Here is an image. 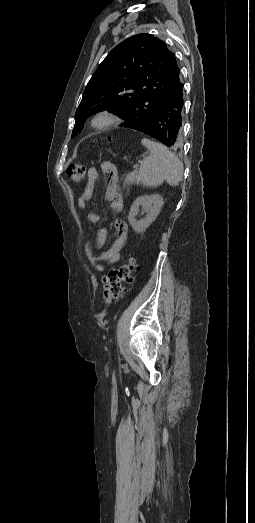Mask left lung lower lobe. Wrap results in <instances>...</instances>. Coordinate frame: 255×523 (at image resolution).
Returning a JSON list of instances; mask_svg holds the SVG:
<instances>
[{"instance_id": "0a47b994", "label": "left lung lower lobe", "mask_w": 255, "mask_h": 523, "mask_svg": "<svg viewBox=\"0 0 255 523\" xmlns=\"http://www.w3.org/2000/svg\"><path fill=\"white\" fill-rule=\"evenodd\" d=\"M183 87L177 85L169 94V101H165L160 107L158 115H152L150 121L146 124L138 125L134 129H141L146 132V135L151 134V137H156L159 144L168 148L171 151H178L181 144V123L183 118L181 116L183 107L187 104V99L183 96Z\"/></svg>"}]
</instances>
